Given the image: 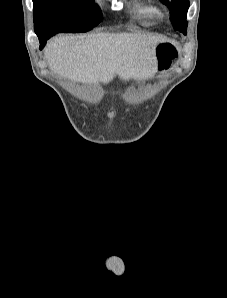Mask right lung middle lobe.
Masks as SVG:
<instances>
[{"label": "right lung middle lobe", "instance_id": "right-lung-middle-lobe-1", "mask_svg": "<svg viewBox=\"0 0 227 298\" xmlns=\"http://www.w3.org/2000/svg\"><path fill=\"white\" fill-rule=\"evenodd\" d=\"M33 16L37 35L54 30L87 32L102 19L94 0H33Z\"/></svg>", "mask_w": 227, "mask_h": 298}]
</instances>
